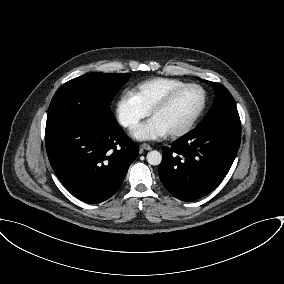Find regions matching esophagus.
<instances>
[{"label": "esophagus", "mask_w": 284, "mask_h": 284, "mask_svg": "<svg viewBox=\"0 0 284 284\" xmlns=\"http://www.w3.org/2000/svg\"><path fill=\"white\" fill-rule=\"evenodd\" d=\"M140 147L142 149H145V150H151L152 149V147L149 144H146V143L141 144Z\"/></svg>", "instance_id": "34e87169"}]
</instances>
